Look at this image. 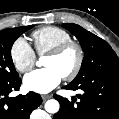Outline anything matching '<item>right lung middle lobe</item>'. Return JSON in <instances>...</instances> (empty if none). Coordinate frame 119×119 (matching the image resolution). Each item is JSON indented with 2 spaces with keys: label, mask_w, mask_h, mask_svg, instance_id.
<instances>
[{
  "label": "right lung middle lobe",
  "mask_w": 119,
  "mask_h": 119,
  "mask_svg": "<svg viewBox=\"0 0 119 119\" xmlns=\"http://www.w3.org/2000/svg\"><path fill=\"white\" fill-rule=\"evenodd\" d=\"M32 27L33 25H29L0 31V80L8 81L19 77L11 58V47L21 34Z\"/></svg>",
  "instance_id": "1"
}]
</instances>
